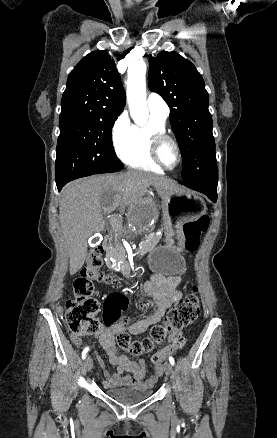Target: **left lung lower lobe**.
Returning <instances> with one entry per match:
<instances>
[{
    "mask_svg": "<svg viewBox=\"0 0 277 438\" xmlns=\"http://www.w3.org/2000/svg\"><path fill=\"white\" fill-rule=\"evenodd\" d=\"M180 183L193 190L206 194L208 198L211 199L213 202H216L217 200V186L206 185V184H188L184 182H180Z\"/></svg>",
    "mask_w": 277,
    "mask_h": 438,
    "instance_id": "1",
    "label": "left lung lower lobe"
}]
</instances>
